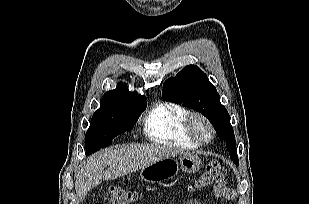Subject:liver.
Returning a JSON list of instances; mask_svg holds the SVG:
<instances>
[{"instance_id": "1", "label": "liver", "mask_w": 309, "mask_h": 204, "mask_svg": "<svg viewBox=\"0 0 309 204\" xmlns=\"http://www.w3.org/2000/svg\"><path fill=\"white\" fill-rule=\"evenodd\" d=\"M183 151L157 144H137L107 148L89 157L81 165L75 180L79 200L104 180H114ZM106 171H103L106 166Z\"/></svg>"}]
</instances>
